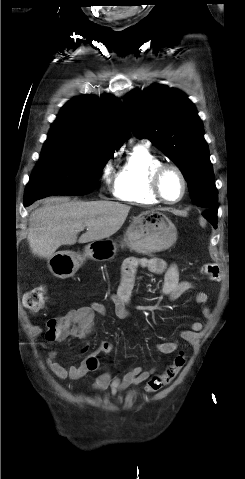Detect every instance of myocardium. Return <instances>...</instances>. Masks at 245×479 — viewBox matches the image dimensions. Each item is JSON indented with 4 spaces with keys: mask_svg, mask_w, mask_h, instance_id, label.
Masks as SVG:
<instances>
[{
    "mask_svg": "<svg viewBox=\"0 0 245 479\" xmlns=\"http://www.w3.org/2000/svg\"><path fill=\"white\" fill-rule=\"evenodd\" d=\"M169 171H173L177 174L180 179L182 191L180 196L176 200H168L163 191H162V180L165 174ZM187 180L183 171L175 164L172 163H162L160 164L152 173L151 176V190L154 195L161 201L167 204H176L179 203L187 193Z\"/></svg>",
    "mask_w": 245,
    "mask_h": 479,
    "instance_id": "obj_1",
    "label": "myocardium"
}]
</instances>
